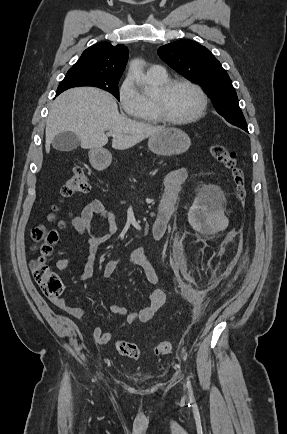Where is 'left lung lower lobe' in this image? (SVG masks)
<instances>
[{
    "label": "left lung lower lobe",
    "mask_w": 287,
    "mask_h": 434,
    "mask_svg": "<svg viewBox=\"0 0 287 434\" xmlns=\"http://www.w3.org/2000/svg\"><path fill=\"white\" fill-rule=\"evenodd\" d=\"M231 124L238 126V127L242 128L243 130L248 132V129L246 127V123H231Z\"/></svg>",
    "instance_id": "left-lung-lower-lobe-1"
}]
</instances>
